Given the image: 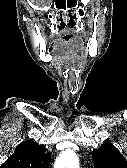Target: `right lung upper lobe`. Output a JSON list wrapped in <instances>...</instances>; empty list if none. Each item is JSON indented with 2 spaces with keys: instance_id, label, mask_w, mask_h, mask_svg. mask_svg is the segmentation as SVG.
<instances>
[{
  "instance_id": "obj_1",
  "label": "right lung upper lobe",
  "mask_w": 127,
  "mask_h": 168,
  "mask_svg": "<svg viewBox=\"0 0 127 168\" xmlns=\"http://www.w3.org/2000/svg\"><path fill=\"white\" fill-rule=\"evenodd\" d=\"M50 153L43 145L26 140L20 143L0 168H48Z\"/></svg>"
}]
</instances>
